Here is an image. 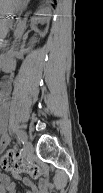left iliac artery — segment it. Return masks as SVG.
<instances>
[{
  "label": "left iliac artery",
  "instance_id": "obj_1",
  "mask_svg": "<svg viewBox=\"0 0 103 193\" xmlns=\"http://www.w3.org/2000/svg\"><path fill=\"white\" fill-rule=\"evenodd\" d=\"M16 135L18 139L23 142V139L25 138V135L21 131H16Z\"/></svg>",
  "mask_w": 103,
  "mask_h": 193
}]
</instances>
